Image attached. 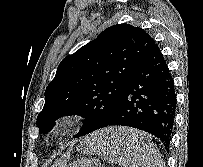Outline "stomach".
Returning <instances> with one entry per match:
<instances>
[{
  "label": "stomach",
  "mask_w": 203,
  "mask_h": 167,
  "mask_svg": "<svg viewBox=\"0 0 203 167\" xmlns=\"http://www.w3.org/2000/svg\"><path fill=\"white\" fill-rule=\"evenodd\" d=\"M114 129V128H111ZM108 129L102 131V132H98L96 133V135L98 137H102L103 135H109L110 133L107 132ZM111 132V131H110ZM103 140H112L113 138L108 136L106 138L102 137ZM83 152H87L86 149H82ZM139 156H140V152H138ZM67 167H100L97 163H95L93 160L88 159V158H82L80 160H77L75 162H73L72 164H70Z\"/></svg>",
  "instance_id": "1"
}]
</instances>
